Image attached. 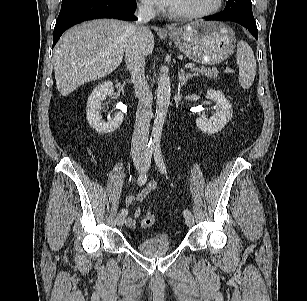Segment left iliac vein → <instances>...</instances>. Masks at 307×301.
Returning a JSON list of instances; mask_svg holds the SVG:
<instances>
[{
  "instance_id": "left-iliac-vein-1",
  "label": "left iliac vein",
  "mask_w": 307,
  "mask_h": 301,
  "mask_svg": "<svg viewBox=\"0 0 307 301\" xmlns=\"http://www.w3.org/2000/svg\"><path fill=\"white\" fill-rule=\"evenodd\" d=\"M185 222L188 227H192L194 224V217L192 214L185 216Z\"/></svg>"
}]
</instances>
